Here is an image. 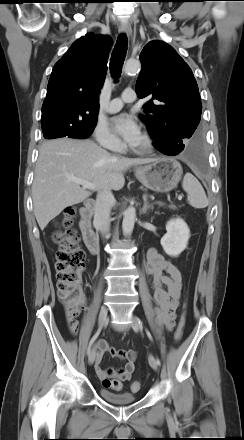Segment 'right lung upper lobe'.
<instances>
[{
	"label": "right lung upper lobe",
	"instance_id": "cb5924a9",
	"mask_svg": "<svg viewBox=\"0 0 244 440\" xmlns=\"http://www.w3.org/2000/svg\"><path fill=\"white\" fill-rule=\"evenodd\" d=\"M110 47L108 36L92 33L73 43L52 70L41 121L65 120L75 125L96 121Z\"/></svg>",
	"mask_w": 244,
	"mask_h": 440
}]
</instances>
